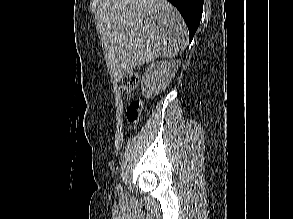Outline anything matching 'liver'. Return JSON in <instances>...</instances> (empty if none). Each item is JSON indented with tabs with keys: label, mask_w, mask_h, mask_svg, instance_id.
<instances>
[{
	"label": "liver",
	"mask_w": 293,
	"mask_h": 219,
	"mask_svg": "<svg viewBox=\"0 0 293 219\" xmlns=\"http://www.w3.org/2000/svg\"><path fill=\"white\" fill-rule=\"evenodd\" d=\"M96 26L116 82L130 69L177 55L186 45V24L167 0H99Z\"/></svg>",
	"instance_id": "liver-1"
}]
</instances>
